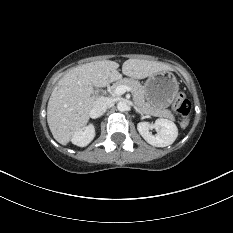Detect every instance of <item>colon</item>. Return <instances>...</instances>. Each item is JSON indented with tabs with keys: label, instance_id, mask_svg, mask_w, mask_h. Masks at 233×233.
<instances>
[{
	"label": "colon",
	"instance_id": "1",
	"mask_svg": "<svg viewBox=\"0 0 233 233\" xmlns=\"http://www.w3.org/2000/svg\"><path fill=\"white\" fill-rule=\"evenodd\" d=\"M174 108L181 116V126L187 127L189 124V115L191 112V103L183 93H179L174 101Z\"/></svg>",
	"mask_w": 233,
	"mask_h": 233
}]
</instances>
